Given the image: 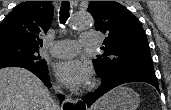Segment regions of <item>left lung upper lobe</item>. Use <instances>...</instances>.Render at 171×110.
<instances>
[{"label": "left lung upper lobe", "instance_id": "left-lung-upper-lobe-1", "mask_svg": "<svg viewBox=\"0 0 171 110\" xmlns=\"http://www.w3.org/2000/svg\"><path fill=\"white\" fill-rule=\"evenodd\" d=\"M88 11L95 29L107 35L104 54L93 61L101 78L122 69H154L142 25L126 7L115 1H90Z\"/></svg>", "mask_w": 171, "mask_h": 110}]
</instances>
